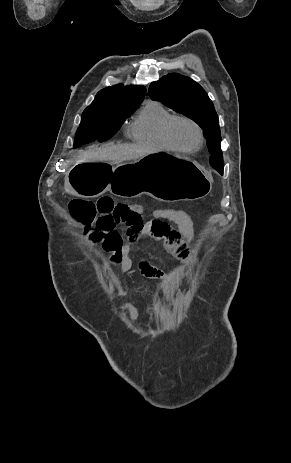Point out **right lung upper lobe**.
<instances>
[{
  "mask_svg": "<svg viewBox=\"0 0 291 463\" xmlns=\"http://www.w3.org/2000/svg\"><path fill=\"white\" fill-rule=\"evenodd\" d=\"M145 93L146 89L144 86L114 85L99 91L94 101L86 109L97 107L126 108L134 104H140Z\"/></svg>",
  "mask_w": 291,
  "mask_h": 463,
  "instance_id": "1",
  "label": "right lung upper lobe"
}]
</instances>
